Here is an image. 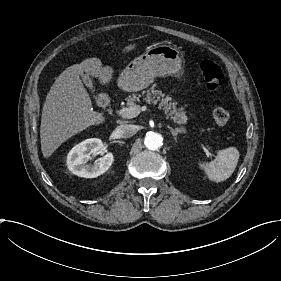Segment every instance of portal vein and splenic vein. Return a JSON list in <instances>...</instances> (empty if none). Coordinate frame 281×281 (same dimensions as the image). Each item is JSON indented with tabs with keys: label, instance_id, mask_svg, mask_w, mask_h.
Listing matches in <instances>:
<instances>
[{
	"label": "portal vein and splenic vein",
	"instance_id": "obj_1",
	"mask_svg": "<svg viewBox=\"0 0 281 281\" xmlns=\"http://www.w3.org/2000/svg\"><path fill=\"white\" fill-rule=\"evenodd\" d=\"M145 107H143V106H141V105H139V104H133L132 106H130V107H125V108H122L121 109V111H120V114H121V116L122 117H124V118H134V117H137L141 112H143V111H145ZM211 141L213 140V138L212 137H208ZM215 143H217V144H221L220 142H218L217 140H213ZM200 143V145H201V147H202V149L203 150H205V155L207 156L206 158L207 159H209L210 161H215V159L213 158H211V152L210 151H208L209 149L208 148H205L204 146H203V144H202V142L200 141L199 142ZM222 147L224 146L223 144L221 145Z\"/></svg>",
	"mask_w": 281,
	"mask_h": 281
}]
</instances>
